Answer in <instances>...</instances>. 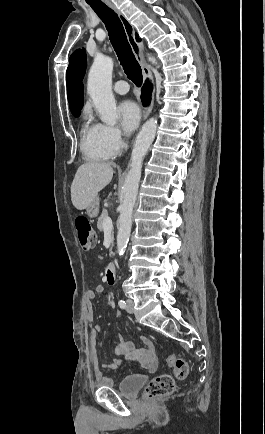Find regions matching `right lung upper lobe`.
Instances as JSON below:
<instances>
[{
    "instance_id": "obj_1",
    "label": "right lung upper lobe",
    "mask_w": 265,
    "mask_h": 434,
    "mask_svg": "<svg viewBox=\"0 0 265 434\" xmlns=\"http://www.w3.org/2000/svg\"><path fill=\"white\" fill-rule=\"evenodd\" d=\"M136 36L137 33H136ZM137 41L140 39L137 37ZM87 67L86 53L84 50H76L69 59V66L66 73L67 96L69 106L83 103L84 87L83 77Z\"/></svg>"
}]
</instances>
